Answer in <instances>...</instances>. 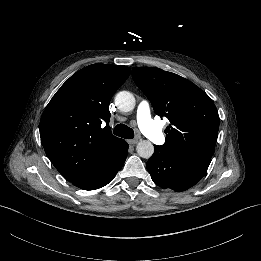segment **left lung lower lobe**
<instances>
[{"mask_svg":"<svg viewBox=\"0 0 261 261\" xmlns=\"http://www.w3.org/2000/svg\"><path fill=\"white\" fill-rule=\"evenodd\" d=\"M154 154L146 163L155 184L161 188L185 191L205 175L211 160L193 154L172 153L154 146Z\"/></svg>","mask_w":261,"mask_h":261,"instance_id":"left-lung-lower-lobe-1","label":"left lung lower lobe"}]
</instances>
